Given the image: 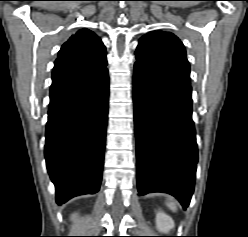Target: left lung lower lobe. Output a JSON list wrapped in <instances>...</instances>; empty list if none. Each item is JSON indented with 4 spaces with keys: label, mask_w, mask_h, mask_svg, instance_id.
I'll return each instance as SVG.
<instances>
[{
    "label": "left lung lower lobe",
    "mask_w": 248,
    "mask_h": 237,
    "mask_svg": "<svg viewBox=\"0 0 248 237\" xmlns=\"http://www.w3.org/2000/svg\"><path fill=\"white\" fill-rule=\"evenodd\" d=\"M133 83L139 195L168 193L186 209L198 160L191 85L140 62L134 65Z\"/></svg>",
    "instance_id": "obj_1"
}]
</instances>
